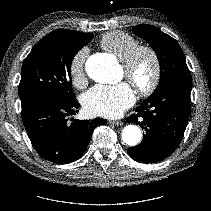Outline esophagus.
<instances>
[{"instance_id":"obj_1","label":"esophagus","mask_w":211,"mask_h":211,"mask_svg":"<svg viewBox=\"0 0 211 211\" xmlns=\"http://www.w3.org/2000/svg\"><path fill=\"white\" fill-rule=\"evenodd\" d=\"M109 123L115 126H121L123 124L122 121L117 120L109 121Z\"/></svg>"}]
</instances>
